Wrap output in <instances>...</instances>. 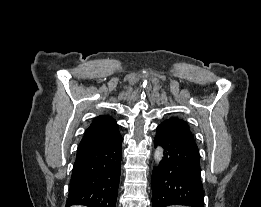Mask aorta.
I'll return each instance as SVG.
<instances>
[{
    "label": "aorta",
    "mask_w": 261,
    "mask_h": 207,
    "mask_svg": "<svg viewBox=\"0 0 261 207\" xmlns=\"http://www.w3.org/2000/svg\"><path fill=\"white\" fill-rule=\"evenodd\" d=\"M163 159V149L162 147L158 146L154 151V160L156 163L161 162Z\"/></svg>",
    "instance_id": "obj_1"
}]
</instances>
